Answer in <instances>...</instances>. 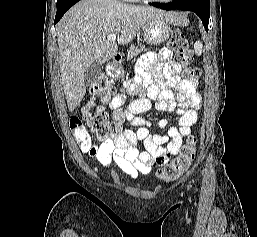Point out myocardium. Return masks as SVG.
I'll return each instance as SVG.
<instances>
[{
  "mask_svg": "<svg viewBox=\"0 0 257 237\" xmlns=\"http://www.w3.org/2000/svg\"><path fill=\"white\" fill-rule=\"evenodd\" d=\"M151 2H156V3H170L174 0H149Z\"/></svg>",
  "mask_w": 257,
  "mask_h": 237,
  "instance_id": "obj_1",
  "label": "myocardium"
}]
</instances>
